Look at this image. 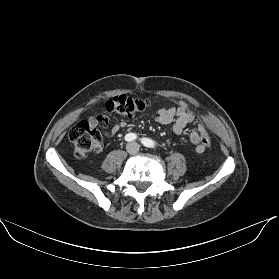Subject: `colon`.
<instances>
[{
    "mask_svg": "<svg viewBox=\"0 0 279 279\" xmlns=\"http://www.w3.org/2000/svg\"><path fill=\"white\" fill-rule=\"evenodd\" d=\"M151 103L152 100L149 98L118 95L107 100L105 106L109 112L131 117L144 111ZM108 124L109 119L106 116L97 117V125L106 127ZM69 139L74 146V155L77 159H85L90 154L101 151L103 147V137L96 125L90 121H80L74 125L69 132ZM202 142L208 148L209 136L204 137Z\"/></svg>",
    "mask_w": 279,
    "mask_h": 279,
    "instance_id": "1",
    "label": "colon"
}]
</instances>
